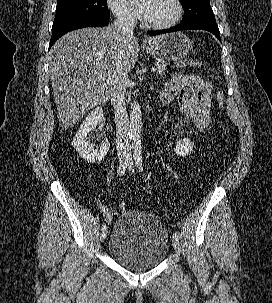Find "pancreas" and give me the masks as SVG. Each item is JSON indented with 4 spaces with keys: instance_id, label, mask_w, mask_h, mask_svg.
Here are the masks:
<instances>
[{
    "instance_id": "cf45deb5",
    "label": "pancreas",
    "mask_w": 272,
    "mask_h": 303,
    "mask_svg": "<svg viewBox=\"0 0 272 303\" xmlns=\"http://www.w3.org/2000/svg\"><path fill=\"white\" fill-rule=\"evenodd\" d=\"M167 63L163 59H158L156 63V68L159 74H163L166 71Z\"/></svg>"
}]
</instances>
